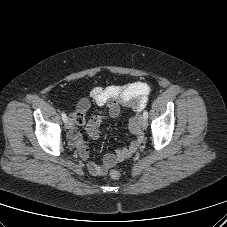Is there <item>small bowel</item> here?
Returning a JSON list of instances; mask_svg holds the SVG:
<instances>
[{
    "mask_svg": "<svg viewBox=\"0 0 227 227\" xmlns=\"http://www.w3.org/2000/svg\"><path fill=\"white\" fill-rule=\"evenodd\" d=\"M149 90V86L144 82H135L126 86L96 87L91 91L89 97L78 101L73 118L79 126L85 128L92 139L97 140L102 121L106 118H116L120 113L121 106L132 107L136 113L141 112L147 104ZM92 105L98 107L106 106L107 114L104 116L95 115L87 120L86 112ZM129 130L134 139L128 146L117 149L114 153L107 154L102 164L89 161L90 149L78 129L74 128L70 131L69 140L77 148L82 159L87 161V168L90 174L100 176L106 174L108 169L117 162L130 157L139 148L143 136L136 118L130 119Z\"/></svg>",
    "mask_w": 227,
    "mask_h": 227,
    "instance_id": "obj_1",
    "label": "small bowel"
}]
</instances>
